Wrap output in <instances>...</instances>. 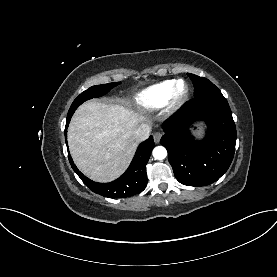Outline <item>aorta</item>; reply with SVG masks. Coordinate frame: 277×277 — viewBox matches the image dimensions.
Masks as SVG:
<instances>
[{
    "label": "aorta",
    "instance_id": "762f6f07",
    "mask_svg": "<svg viewBox=\"0 0 277 277\" xmlns=\"http://www.w3.org/2000/svg\"><path fill=\"white\" fill-rule=\"evenodd\" d=\"M167 156V150L163 146H157L153 149V157L157 160H163Z\"/></svg>",
    "mask_w": 277,
    "mask_h": 277
}]
</instances>
